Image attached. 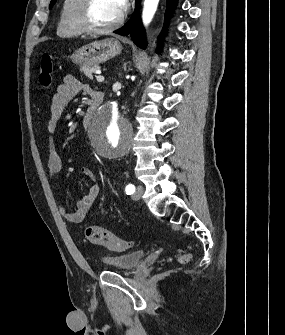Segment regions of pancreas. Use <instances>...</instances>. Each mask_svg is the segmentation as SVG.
Wrapping results in <instances>:
<instances>
[{
  "label": "pancreas",
  "instance_id": "pancreas-1",
  "mask_svg": "<svg viewBox=\"0 0 285 335\" xmlns=\"http://www.w3.org/2000/svg\"><path fill=\"white\" fill-rule=\"evenodd\" d=\"M94 70H100V66H81V72H84L89 81L95 80V75L92 73Z\"/></svg>",
  "mask_w": 285,
  "mask_h": 335
}]
</instances>
